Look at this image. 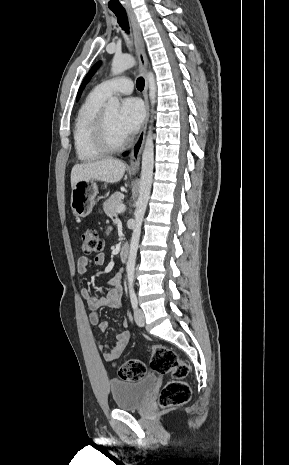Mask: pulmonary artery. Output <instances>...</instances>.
Returning <instances> with one entry per match:
<instances>
[{
  "instance_id": "obj_1",
  "label": "pulmonary artery",
  "mask_w": 289,
  "mask_h": 465,
  "mask_svg": "<svg viewBox=\"0 0 289 465\" xmlns=\"http://www.w3.org/2000/svg\"><path fill=\"white\" fill-rule=\"evenodd\" d=\"M133 81L128 77H118L103 81L96 89L105 97L114 94H130L133 91Z\"/></svg>"
}]
</instances>
